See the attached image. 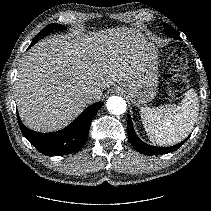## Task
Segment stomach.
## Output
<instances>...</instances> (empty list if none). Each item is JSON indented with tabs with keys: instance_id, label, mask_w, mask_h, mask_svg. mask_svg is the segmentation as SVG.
<instances>
[{
	"instance_id": "1",
	"label": "stomach",
	"mask_w": 211,
	"mask_h": 211,
	"mask_svg": "<svg viewBox=\"0 0 211 211\" xmlns=\"http://www.w3.org/2000/svg\"><path fill=\"white\" fill-rule=\"evenodd\" d=\"M159 63L157 50L150 46L146 53L145 62L137 76L121 84L134 105L141 106L156 96Z\"/></svg>"
}]
</instances>
